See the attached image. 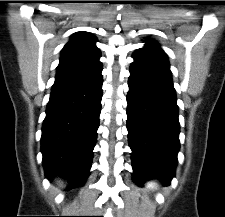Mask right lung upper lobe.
<instances>
[{
  "label": "right lung upper lobe",
  "instance_id": "1",
  "mask_svg": "<svg viewBox=\"0 0 225 217\" xmlns=\"http://www.w3.org/2000/svg\"><path fill=\"white\" fill-rule=\"evenodd\" d=\"M96 41L84 31L73 34L61 50L53 88L89 83L102 76L101 53Z\"/></svg>",
  "mask_w": 225,
  "mask_h": 217
}]
</instances>
